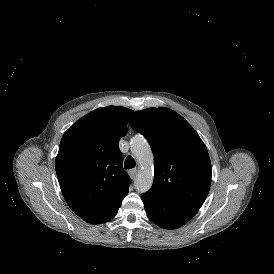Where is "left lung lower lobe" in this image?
Segmentation results:
<instances>
[{"label": "left lung lower lobe", "mask_w": 274, "mask_h": 274, "mask_svg": "<svg viewBox=\"0 0 274 274\" xmlns=\"http://www.w3.org/2000/svg\"><path fill=\"white\" fill-rule=\"evenodd\" d=\"M146 213L156 225L166 229H176L189 221L198 209L170 201L149 190L142 194Z\"/></svg>", "instance_id": "left-lung-lower-lobe-1"}]
</instances>
